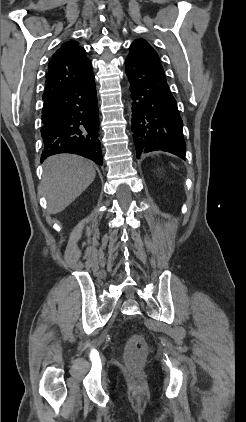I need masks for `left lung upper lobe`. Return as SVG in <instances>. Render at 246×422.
I'll return each instance as SVG.
<instances>
[{
	"label": "left lung upper lobe",
	"instance_id": "obj_1",
	"mask_svg": "<svg viewBox=\"0 0 246 422\" xmlns=\"http://www.w3.org/2000/svg\"><path fill=\"white\" fill-rule=\"evenodd\" d=\"M131 46L138 48L160 71L164 72L157 52L146 40L137 39L131 44Z\"/></svg>",
	"mask_w": 246,
	"mask_h": 422
}]
</instances>
